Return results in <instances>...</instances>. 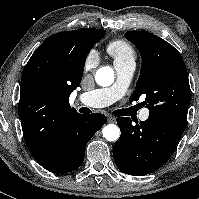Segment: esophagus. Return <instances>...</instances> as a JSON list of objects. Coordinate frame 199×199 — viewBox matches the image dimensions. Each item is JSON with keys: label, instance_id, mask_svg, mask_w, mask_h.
<instances>
[{"label": "esophagus", "instance_id": "34e87169", "mask_svg": "<svg viewBox=\"0 0 199 199\" xmlns=\"http://www.w3.org/2000/svg\"><path fill=\"white\" fill-rule=\"evenodd\" d=\"M115 121H116V119L114 117H112V116L108 117V122L109 123H115Z\"/></svg>", "mask_w": 199, "mask_h": 199}]
</instances>
